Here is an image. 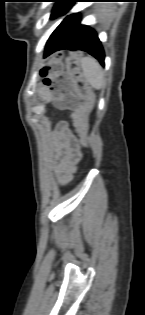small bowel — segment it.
Instances as JSON below:
<instances>
[{"mask_svg":"<svg viewBox=\"0 0 145 315\" xmlns=\"http://www.w3.org/2000/svg\"><path fill=\"white\" fill-rule=\"evenodd\" d=\"M55 149L57 164L55 171L61 182L71 179L77 164L83 156L78 140L66 123L58 125L55 132Z\"/></svg>","mask_w":145,"mask_h":315,"instance_id":"small-bowel-1","label":"small bowel"}]
</instances>
